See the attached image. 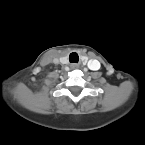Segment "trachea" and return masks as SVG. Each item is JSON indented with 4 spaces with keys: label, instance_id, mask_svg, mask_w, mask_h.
Returning a JSON list of instances; mask_svg holds the SVG:
<instances>
[{
    "label": "trachea",
    "instance_id": "1",
    "mask_svg": "<svg viewBox=\"0 0 145 145\" xmlns=\"http://www.w3.org/2000/svg\"><path fill=\"white\" fill-rule=\"evenodd\" d=\"M73 58L75 60H73ZM69 60H70V62H77L78 61V55H77V53L70 54Z\"/></svg>",
    "mask_w": 145,
    "mask_h": 145
}]
</instances>
